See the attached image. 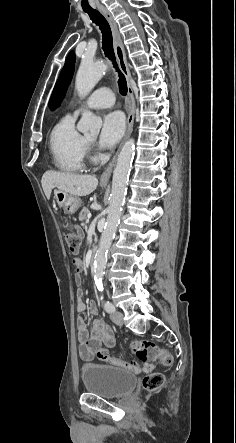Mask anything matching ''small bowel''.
<instances>
[{
    "mask_svg": "<svg viewBox=\"0 0 236 443\" xmlns=\"http://www.w3.org/2000/svg\"><path fill=\"white\" fill-rule=\"evenodd\" d=\"M75 266L83 271V264L79 260H75ZM76 288V307L79 312L88 310L91 314H96L98 308L94 302L85 304L83 300V289L81 287V274L79 278L75 279ZM77 339L80 344L79 354L83 359H91L94 351L100 346L104 345L111 348L115 344L114 336L109 328H107L101 321L95 320L92 323L91 330H88L87 324L82 317L76 320ZM87 353V354H85Z\"/></svg>",
    "mask_w": 236,
    "mask_h": 443,
    "instance_id": "obj_1",
    "label": "small bowel"
}]
</instances>
